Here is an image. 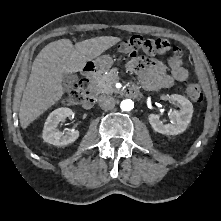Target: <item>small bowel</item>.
<instances>
[{
  "label": "small bowel",
  "instance_id": "obj_1",
  "mask_svg": "<svg viewBox=\"0 0 221 221\" xmlns=\"http://www.w3.org/2000/svg\"><path fill=\"white\" fill-rule=\"evenodd\" d=\"M166 44L167 46L163 49L145 48L143 51L150 55L165 52L164 56L169 60L168 66L159 60L144 56L133 58L126 65L128 71L138 76L141 86L146 90L168 88L174 82L184 81L188 78V70L180 60L181 52L169 48L167 42Z\"/></svg>",
  "mask_w": 221,
  "mask_h": 221
}]
</instances>
